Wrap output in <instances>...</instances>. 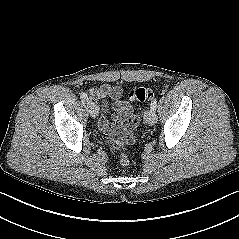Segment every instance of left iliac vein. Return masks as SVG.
<instances>
[{
	"mask_svg": "<svg viewBox=\"0 0 239 239\" xmlns=\"http://www.w3.org/2000/svg\"><path fill=\"white\" fill-rule=\"evenodd\" d=\"M144 120L148 125L153 126L157 121V115H156L155 110L149 109V110L145 111Z\"/></svg>",
	"mask_w": 239,
	"mask_h": 239,
	"instance_id": "left-iliac-vein-1",
	"label": "left iliac vein"
}]
</instances>
